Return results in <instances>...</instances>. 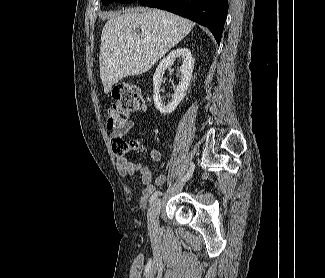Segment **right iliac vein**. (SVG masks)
<instances>
[{
  "label": "right iliac vein",
  "instance_id": "1",
  "mask_svg": "<svg viewBox=\"0 0 325 278\" xmlns=\"http://www.w3.org/2000/svg\"><path fill=\"white\" fill-rule=\"evenodd\" d=\"M161 208V199L153 202L147 214L148 228L151 234L155 235L158 232V215Z\"/></svg>",
  "mask_w": 325,
  "mask_h": 278
}]
</instances>
